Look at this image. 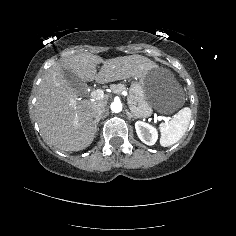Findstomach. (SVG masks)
Masks as SVG:
<instances>
[{"label": "stomach", "instance_id": "1", "mask_svg": "<svg viewBox=\"0 0 236 236\" xmlns=\"http://www.w3.org/2000/svg\"><path fill=\"white\" fill-rule=\"evenodd\" d=\"M185 103V93L174 75L163 68H155L137 82H133L128 104L136 118H147L153 110L170 114Z\"/></svg>", "mask_w": 236, "mask_h": 236}]
</instances>
